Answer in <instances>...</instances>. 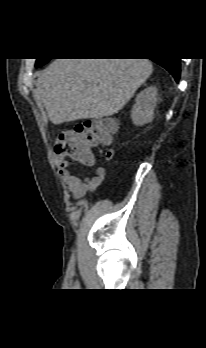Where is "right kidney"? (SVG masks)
Segmentation results:
<instances>
[{
  "instance_id": "ca27d5eb",
  "label": "right kidney",
  "mask_w": 206,
  "mask_h": 348,
  "mask_svg": "<svg viewBox=\"0 0 206 348\" xmlns=\"http://www.w3.org/2000/svg\"><path fill=\"white\" fill-rule=\"evenodd\" d=\"M157 95L156 87L152 86L137 95L131 111V118L136 126H142L153 120Z\"/></svg>"
}]
</instances>
